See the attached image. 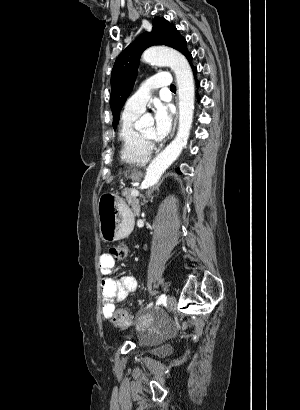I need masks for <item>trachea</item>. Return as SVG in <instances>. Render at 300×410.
Returning <instances> with one entry per match:
<instances>
[{"label":"trachea","instance_id":"obj_1","mask_svg":"<svg viewBox=\"0 0 300 410\" xmlns=\"http://www.w3.org/2000/svg\"><path fill=\"white\" fill-rule=\"evenodd\" d=\"M170 89H171L172 91H175V90H176L175 85L172 84V85L170 86Z\"/></svg>","mask_w":300,"mask_h":410}]
</instances>
